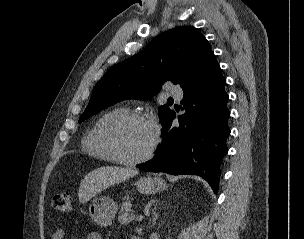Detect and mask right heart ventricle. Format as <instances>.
<instances>
[{"mask_svg":"<svg viewBox=\"0 0 304 239\" xmlns=\"http://www.w3.org/2000/svg\"><path fill=\"white\" fill-rule=\"evenodd\" d=\"M126 111L124 107H115L105 111L97 118L82 139V148L88 155L105 161H113L112 156L101 141V131L110 119Z\"/></svg>","mask_w":304,"mask_h":239,"instance_id":"obj_1","label":"right heart ventricle"}]
</instances>
